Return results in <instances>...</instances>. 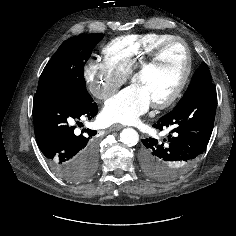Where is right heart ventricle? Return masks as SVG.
<instances>
[{
    "label": "right heart ventricle",
    "mask_w": 236,
    "mask_h": 236,
    "mask_svg": "<svg viewBox=\"0 0 236 236\" xmlns=\"http://www.w3.org/2000/svg\"><path fill=\"white\" fill-rule=\"evenodd\" d=\"M173 37L159 33L121 36L110 41L103 53L112 66L127 76L158 44Z\"/></svg>",
    "instance_id": "obj_1"
}]
</instances>
